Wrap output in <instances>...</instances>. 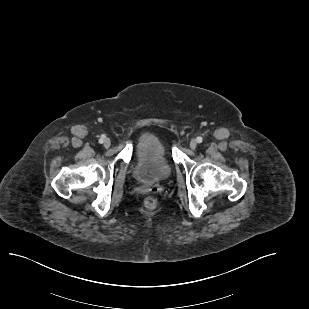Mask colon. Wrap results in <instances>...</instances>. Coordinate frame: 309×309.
<instances>
[{"label":"colon","mask_w":309,"mask_h":309,"mask_svg":"<svg viewBox=\"0 0 309 309\" xmlns=\"http://www.w3.org/2000/svg\"><path fill=\"white\" fill-rule=\"evenodd\" d=\"M144 206L147 209H154L157 206V200L155 198H153V197H147L144 200Z\"/></svg>","instance_id":"1"}]
</instances>
